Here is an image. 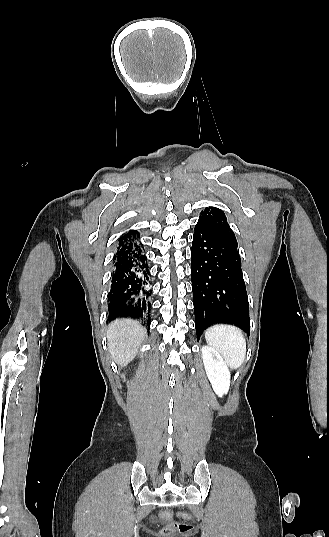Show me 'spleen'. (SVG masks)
Returning <instances> with one entry per match:
<instances>
[{
    "label": "spleen",
    "instance_id": "3e777b00",
    "mask_svg": "<svg viewBox=\"0 0 329 537\" xmlns=\"http://www.w3.org/2000/svg\"><path fill=\"white\" fill-rule=\"evenodd\" d=\"M209 345L217 349L233 369L240 367L246 356V341L242 331L232 325H214L205 331Z\"/></svg>",
    "mask_w": 329,
    "mask_h": 537
}]
</instances>
